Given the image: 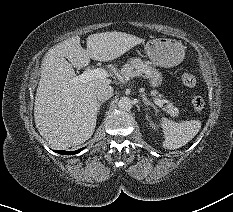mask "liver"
<instances>
[{"label":"liver","instance_id":"1","mask_svg":"<svg viewBox=\"0 0 233 212\" xmlns=\"http://www.w3.org/2000/svg\"><path fill=\"white\" fill-rule=\"evenodd\" d=\"M144 41L112 31L88 36L87 49L81 47L79 36H73L46 53L35 96L34 119L40 135L52 147L78 146L92 136L99 112L94 90L112 83L106 77L73 84L70 82L76 77L73 66L85 67L90 58L103 62L114 60Z\"/></svg>","mask_w":233,"mask_h":212}]
</instances>
